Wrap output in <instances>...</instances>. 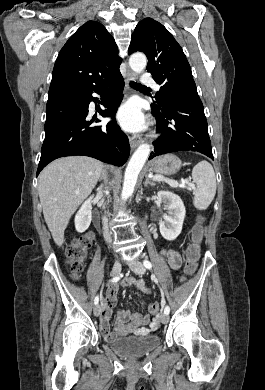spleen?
<instances>
[{
  "instance_id": "3e777b00",
  "label": "spleen",
  "mask_w": 265,
  "mask_h": 390,
  "mask_svg": "<svg viewBox=\"0 0 265 390\" xmlns=\"http://www.w3.org/2000/svg\"><path fill=\"white\" fill-rule=\"evenodd\" d=\"M192 179L197 185L193 204L198 210H205L216 194V177L212 165L205 160L199 162L192 170Z\"/></svg>"
}]
</instances>
